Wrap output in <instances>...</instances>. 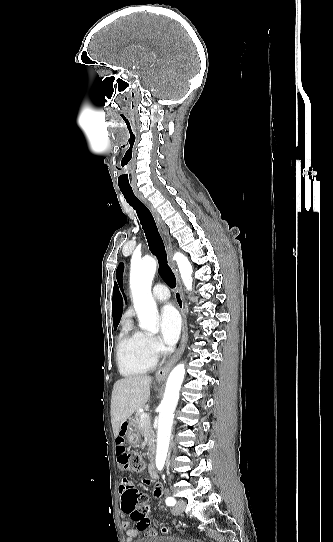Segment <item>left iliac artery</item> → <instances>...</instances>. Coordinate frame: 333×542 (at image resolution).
Here are the masks:
<instances>
[{
    "label": "left iliac artery",
    "mask_w": 333,
    "mask_h": 542,
    "mask_svg": "<svg viewBox=\"0 0 333 542\" xmlns=\"http://www.w3.org/2000/svg\"><path fill=\"white\" fill-rule=\"evenodd\" d=\"M176 503L175 499L173 497H168L166 499V504L169 506H173Z\"/></svg>",
    "instance_id": "left-iliac-artery-1"
}]
</instances>
